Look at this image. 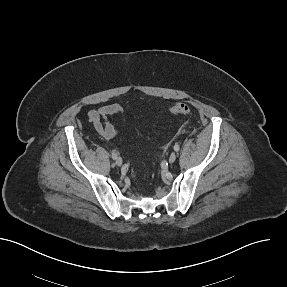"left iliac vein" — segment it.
I'll return each mask as SVG.
<instances>
[{"label":"left iliac vein","instance_id":"obj_1","mask_svg":"<svg viewBox=\"0 0 287 287\" xmlns=\"http://www.w3.org/2000/svg\"><path fill=\"white\" fill-rule=\"evenodd\" d=\"M176 157H177L176 153H174V152L171 153V155L169 157V163H174L176 160Z\"/></svg>","mask_w":287,"mask_h":287}]
</instances>
